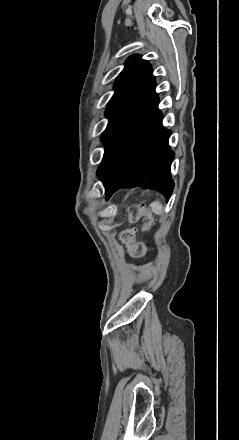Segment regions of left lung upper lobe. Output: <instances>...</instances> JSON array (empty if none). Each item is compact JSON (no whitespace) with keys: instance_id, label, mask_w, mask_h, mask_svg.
Wrapping results in <instances>:
<instances>
[{"instance_id":"5c2ea615","label":"left lung upper lobe","mask_w":239,"mask_h":440,"mask_svg":"<svg viewBox=\"0 0 239 440\" xmlns=\"http://www.w3.org/2000/svg\"><path fill=\"white\" fill-rule=\"evenodd\" d=\"M125 65L114 83L115 93L106 109L109 123L102 137L137 104L155 82L152 66L141 56H130Z\"/></svg>"}]
</instances>
